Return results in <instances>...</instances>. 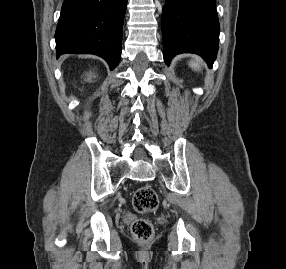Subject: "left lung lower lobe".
<instances>
[{
    "mask_svg": "<svg viewBox=\"0 0 286 269\" xmlns=\"http://www.w3.org/2000/svg\"><path fill=\"white\" fill-rule=\"evenodd\" d=\"M164 61L179 53L202 56L211 67L216 59L219 22L215 0H166L162 13Z\"/></svg>",
    "mask_w": 286,
    "mask_h": 269,
    "instance_id": "left-lung-lower-lobe-1",
    "label": "left lung lower lobe"
}]
</instances>
